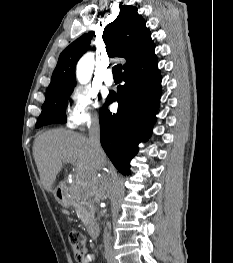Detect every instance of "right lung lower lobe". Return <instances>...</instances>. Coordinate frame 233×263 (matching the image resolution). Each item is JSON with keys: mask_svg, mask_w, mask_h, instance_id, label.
Instances as JSON below:
<instances>
[{"mask_svg": "<svg viewBox=\"0 0 233 263\" xmlns=\"http://www.w3.org/2000/svg\"><path fill=\"white\" fill-rule=\"evenodd\" d=\"M125 84L117 94L109 95L100 111V141L114 166L123 174L130 173L129 161L138 152V144L147 141L156 121L161 75L157 59L124 71ZM117 101V113L108 105Z\"/></svg>", "mask_w": 233, "mask_h": 263, "instance_id": "right-lung-lower-lobe-1", "label": "right lung lower lobe"}]
</instances>
